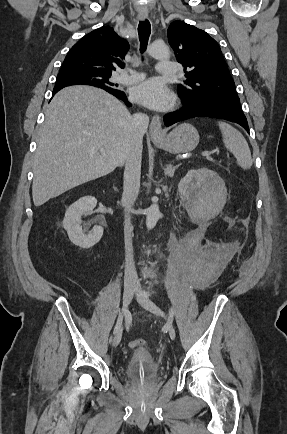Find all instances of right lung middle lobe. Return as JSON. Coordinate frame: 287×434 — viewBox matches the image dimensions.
Here are the masks:
<instances>
[{
    "instance_id": "obj_1",
    "label": "right lung middle lobe",
    "mask_w": 287,
    "mask_h": 434,
    "mask_svg": "<svg viewBox=\"0 0 287 434\" xmlns=\"http://www.w3.org/2000/svg\"><path fill=\"white\" fill-rule=\"evenodd\" d=\"M111 75L100 74L86 70L64 69L60 70L56 84L74 82L92 85L104 90H119L118 85L109 81Z\"/></svg>"
}]
</instances>
